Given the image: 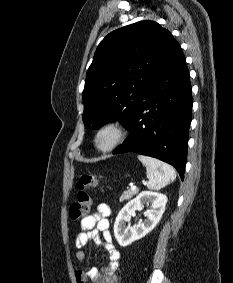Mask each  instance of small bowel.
<instances>
[{
	"instance_id": "small-bowel-1",
	"label": "small bowel",
	"mask_w": 233,
	"mask_h": 283,
	"mask_svg": "<svg viewBox=\"0 0 233 283\" xmlns=\"http://www.w3.org/2000/svg\"><path fill=\"white\" fill-rule=\"evenodd\" d=\"M111 211L107 204L101 203L96 211L81 220V232L76 238V258L83 261L86 257L85 248L90 242L103 246L108 254V263L104 268H91L87 272H77V283H86L90 279L93 283H119L116 271L119 266L120 253L113 244L109 230L108 217ZM102 235V238H101Z\"/></svg>"
}]
</instances>
